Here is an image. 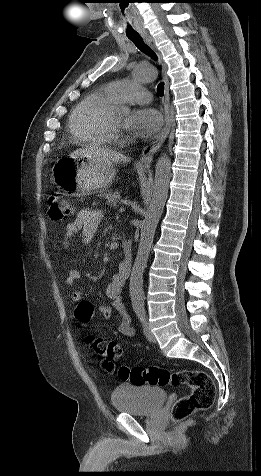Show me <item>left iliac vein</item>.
Instances as JSON below:
<instances>
[{"label": "left iliac vein", "instance_id": "left-iliac-vein-1", "mask_svg": "<svg viewBox=\"0 0 261 476\" xmlns=\"http://www.w3.org/2000/svg\"><path fill=\"white\" fill-rule=\"evenodd\" d=\"M143 331H144V335L146 336V338L148 339V341L152 342V343H155L156 342V338L154 336V334L152 333L151 329H150V326H149V323L147 320L144 321V324H143Z\"/></svg>", "mask_w": 261, "mask_h": 476}]
</instances>
